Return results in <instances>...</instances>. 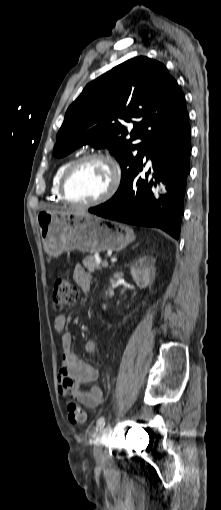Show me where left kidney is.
Wrapping results in <instances>:
<instances>
[{"mask_svg":"<svg viewBox=\"0 0 221 510\" xmlns=\"http://www.w3.org/2000/svg\"><path fill=\"white\" fill-rule=\"evenodd\" d=\"M155 264V259L143 256L136 260L130 267V273L140 288H145L148 286L151 278V273L153 272ZM103 309H106V305H103Z\"/></svg>","mask_w":221,"mask_h":510,"instance_id":"left-kidney-1","label":"left kidney"}]
</instances>
